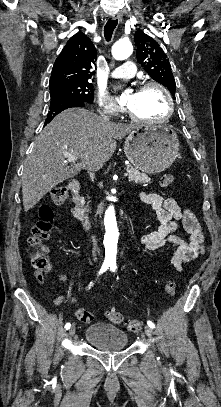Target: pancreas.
<instances>
[{
	"label": "pancreas",
	"instance_id": "obj_1",
	"mask_svg": "<svg viewBox=\"0 0 221 407\" xmlns=\"http://www.w3.org/2000/svg\"><path fill=\"white\" fill-rule=\"evenodd\" d=\"M127 172L129 174V181L135 182V183H149L150 178L148 177L147 174L141 173L138 171L136 168H133L132 166L128 165L127 166Z\"/></svg>",
	"mask_w": 221,
	"mask_h": 407
}]
</instances>
